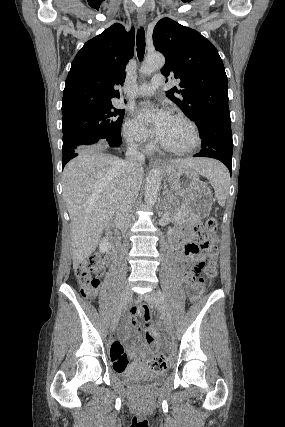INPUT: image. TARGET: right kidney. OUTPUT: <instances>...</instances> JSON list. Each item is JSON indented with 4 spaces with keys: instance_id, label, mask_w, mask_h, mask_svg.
<instances>
[{
    "instance_id": "ca27d5eb",
    "label": "right kidney",
    "mask_w": 285,
    "mask_h": 427,
    "mask_svg": "<svg viewBox=\"0 0 285 427\" xmlns=\"http://www.w3.org/2000/svg\"><path fill=\"white\" fill-rule=\"evenodd\" d=\"M109 249V241L107 238H103L99 244V250L101 253H105Z\"/></svg>"
}]
</instances>
